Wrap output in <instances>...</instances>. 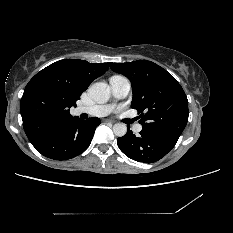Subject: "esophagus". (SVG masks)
I'll return each instance as SVG.
<instances>
[{
  "label": "esophagus",
  "instance_id": "34e87169",
  "mask_svg": "<svg viewBox=\"0 0 233 233\" xmlns=\"http://www.w3.org/2000/svg\"><path fill=\"white\" fill-rule=\"evenodd\" d=\"M105 122H109V123H112V124L114 123V121L110 120V119H106Z\"/></svg>",
  "mask_w": 233,
  "mask_h": 233
}]
</instances>
